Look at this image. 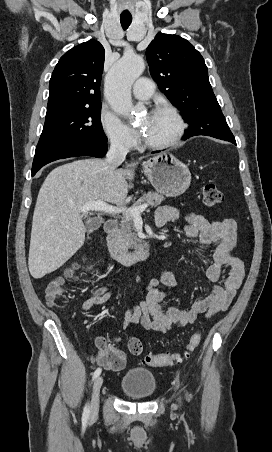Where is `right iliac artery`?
Instances as JSON below:
<instances>
[{
    "label": "right iliac artery",
    "instance_id": "obj_1",
    "mask_svg": "<svg viewBox=\"0 0 272 452\" xmlns=\"http://www.w3.org/2000/svg\"><path fill=\"white\" fill-rule=\"evenodd\" d=\"M101 371H102L101 368H97V369L95 370L94 374H93L92 379H93V380L96 379V378L101 374ZM89 412H90L89 405L86 404V406L84 407V411H83V418H84V419H88V417H89Z\"/></svg>",
    "mask_w": 272,
    "mask_h": 452
}]
</instances>
